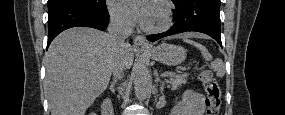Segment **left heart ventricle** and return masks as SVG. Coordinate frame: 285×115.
Returning <instances> with one entry per match:
<instances>
[{"instance_id":"1","label":"left heart ventricle","mask_w":285,"mask_h":115,"mask_svg":"<svg viewBox=\"0 0 285 115\" xmlns=\"http://www.w3.org/2000/svg\"><path fill=\"white\" fill-rule=\"evenodd\" d=\"M160 16H161V11H160L159 7L154 6V12H153V16H152L150 26L156 25L160 20Z\"/></svg>"}]
</instances>
